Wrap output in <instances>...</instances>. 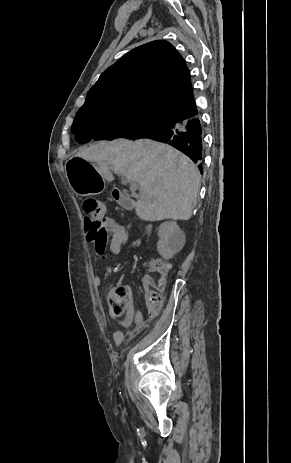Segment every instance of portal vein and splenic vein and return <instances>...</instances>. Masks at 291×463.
I'll list each match as a JSON object with an SVG mask.
<instances>
[{"instance_id": "obj_1", "label": "portal vein and splenic vein", "mask_w": 291, "mask_h": 463, "mask_svg": "<svg viewBox=\"0 0 291 463\" xmlns=\"http://www.w3.org/2000/svg\"><path fill=\"white\" fill-rule=\"evenodd\" d=\"M125 183H129V184H130V190H131L132 192L136 191L137 188H138V185H137L135 182H133V181L125 180Z\"/></svg>"}]
</instances>
